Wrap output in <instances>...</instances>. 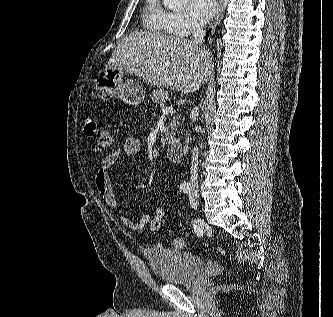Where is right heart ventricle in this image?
I'll return each mask as SVG.
<instances>
[{
    "instance_id": "obj_1",
    "label": "right heart ventricle",
    "mask_w": 333,
    "mask_h": 317,
    "mask_svg": "<svg viewBox=\"0 0 333 317\" xmlns=\"http://www.w3.org/2000/svg\"><path fill=\"white\" fill-rule=\"evenodd\" d=\"M170 14L160 0H146L143 9L144 27L159 35H170L172 33L169 26Z\"/></svg>"
}]
</instances>
